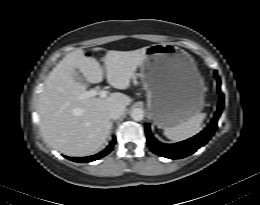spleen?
I'll list each match as a JSON object with an SVG mask.
<instances>
[{
  "instance_id": "obj_1",
  "label": "spleen",
  "mask_w": 260,
  "mask_h": 205,
  "mask_svg": "<svg viewBox=\"0 0 260 205\" xmlns=\"http://www.w3.org/2000/svg\"><path fill=\"white\" fill-rule=\"evenodd\" d=\"M206 118V113H199L192 116L187 121L182 122L181 124L165 129L164 135L175 142L183 141L188 138H191L198 134L202 127V123Z\"/></svg>"
}]
</instances>
